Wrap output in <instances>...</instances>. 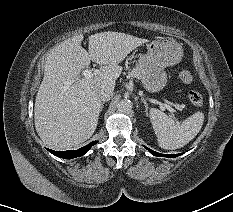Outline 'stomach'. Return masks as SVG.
<instances>
[{
	"mask_svg": "<svg viewBox=\"0 0 233 212\" xmlns=\"http://www.w3.org/2000/svg\"><path fill=\"white\" fill-rule=\"evenodd\" d=\"M146 46L147 53L140 56L137 68L144 88L154 93L166 85L167 74L164 69L180 62L183 48L178 42L167 39H156Z\"/></svg>",
	"mask_w": 233,
	"mask_h": 212,
	"instance_id": "stomach-1",
	"label": "stomach"
}]
</instances>
